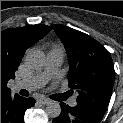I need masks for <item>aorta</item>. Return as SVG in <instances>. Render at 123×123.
I'll return each mask as SVG.
<instances>
[{"instance_id": "aorta-1", "label": "aorta", "mask_w": 123, "mask_h": 123, "mask_svg": "<svg viewBox=\"0 0 123 123\" xmlns=\"http://www.w3.org/2000/svg\"><path fill=\"white\" fill-rule=\"evenodd\" d=\"M26 64L33 69H40L46 64V55L40 50H30L25 57ZM61 113L58 102H50L46 107V114L51 118H57Z\"/></svg>"}]
</instances>
